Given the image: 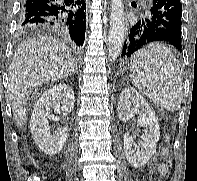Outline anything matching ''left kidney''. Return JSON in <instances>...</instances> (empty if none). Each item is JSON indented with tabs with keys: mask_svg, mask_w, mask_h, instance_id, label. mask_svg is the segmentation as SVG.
I'll return each mask as SVG.
<instances>
[{
	"mask_svg": "<svg viewBox=\"0 0 197 181\" xmlns=\"http://www.w3.org/2000/svg\"><path fill=\"white\" fill-rule=\"evenodd\" d=\"M134 105L133 108L131 106ZM137 114V123L145 128L141 138L143 142L141 150L134 148V139L126 133L124 139V151L128 162L136 167H143L156 151L157 142L160 138L158 120L150 108L148 102L133 88L126 87L119 98L118 117L121 121H127Z\"/></svg>",
	"mask_w": 197,
	"mask_h": 181,
	"instance_id": "obj_1",
	"label": "left kidney"
}]
</instances>
